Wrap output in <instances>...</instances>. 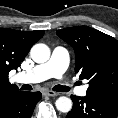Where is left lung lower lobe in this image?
Listing matches in <instances>:
<instances>
[{
	"label": "left lung lower lobe",
	"mask_w": 118,
	"mask_h": 118,
	"mask_svg": "<svg viewBox=\"0 0 118 118\" xmlns=\"http://www.w3.org/2000/svg\"><path fill=\"white\" fill-rule=\"evenodd\" d=\"M71 99L73 108L66 118H116L118 115V101L92 95H71Z\"/></svg>",
	"instance_id": "obj_1"
}]
</instances>
